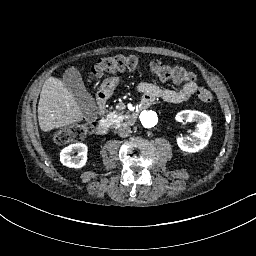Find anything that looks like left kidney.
I'll use <instances>...</instances> for the list:
<instances>
[{"instance_id":"5707ae66","label":"left kidney","mask_w":256,"mask_h":256,"mask_svg":"<svg viewBox=\"0 0 256 256\" xmlns=\"http://www.w3.org/2000/svg\"><path fill=\"white\" fill-rule=\"evenodd\" d=\"M176 119L185 122H196L193 137L191 142L185 141L182 137L178 138V147L186 153H197L209 143L212 136V121L211 118L199 111L184 110L177 114Z\"/></svg>"}]
</instances>
